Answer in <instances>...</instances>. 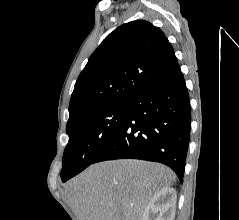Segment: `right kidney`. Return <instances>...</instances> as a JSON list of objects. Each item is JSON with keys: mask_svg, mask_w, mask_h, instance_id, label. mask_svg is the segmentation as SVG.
I'll return each instance as SVG.
<instances>
[{"mask_svg": "<svg viewBox=\"0 0 239 220\" xmlns=\"http://www.w3.org/2000/svg\"><path fill=\"white\" fill-rule=\"evenodd\" d=\"M176 191L164 187L157 191L143 214V220H174Z\"/></svg>", "mask_w": 239, "mask_h": 220, "instance_id": "ca27d5eb", "label": "right kidney"}]
</instances>
